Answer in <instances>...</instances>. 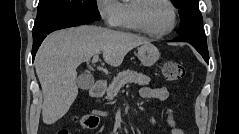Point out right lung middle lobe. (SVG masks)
I'll return each instance as SVG.
<instances>
[{
	"mask_svg": "<svg viewBox=\"0 0 239 134\" xmlns=\"http://www.w3.org/2000/svg\"><path fill=\"white\" fill-rule=\"evenodd\" d=\"M65 17L100 20L96 0H39L33 34L49 23Z\"/></svg>",
	"mask_w": 239,
	"mask_h": 134,
	"instance_id": "dd1d6c3e",
	"label": "right lung middle lobe"
}]
</instances>
